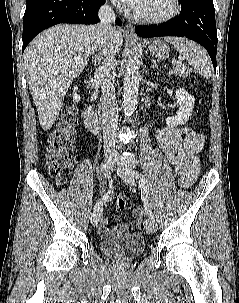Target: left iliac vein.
<instances>
[{"label":"left iliac vein","mask_w":239,"mask_h":303,"mask_svg":"<svg viewBox=\"0 0 239 303\" xmlns=\"http://www.w3.org/2000/svg\"><path fill=\"white\" fill-rule=\"evenodd\" d=\"M135 172V170L130 168L117 167L118 175L129 186H135ZM144 228L148 234H154L157 230V224L154 218L147 217L144 221Z\"/></svg>","instance_id":"left-iliac-vein-1"}]
</instances>
